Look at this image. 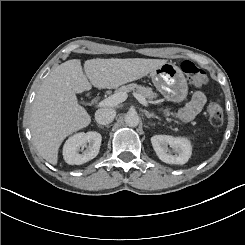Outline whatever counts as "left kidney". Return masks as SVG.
<instances>
[{
  "instance_id": "5707ae66",
  "label": "left kidney",
  "mask_w": 245,
  "mask_h": 245,
  "mask_svg": "<svg viewBox=\"0 0 245 245\" xmlns=\"http://www.w3.org/2000/svg\"><path fill=\"white\" fill-rule=\"evenodd\" d=\"M151 143L159 159L168 164H185L192 154L190 141L184 137L170 135H154ZM172 148L174 155L171 153Z\"/></svg>"
}]
</instances>
